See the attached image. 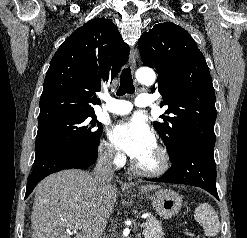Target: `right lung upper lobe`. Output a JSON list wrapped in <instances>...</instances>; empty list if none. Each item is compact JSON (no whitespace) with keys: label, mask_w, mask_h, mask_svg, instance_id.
I'll return each instance as SVG.
<instances>
[{"label":"right lung upper lobe","mask_w":247,"mask_h":238,"mask_svg":"<svg viewBox=\"0 0 247 238\" xmlns=\"http://www.w3.org/2000/svg\"><path fill=\"white\" fill-rule=\"evenodd\" d=\"M128 56L129 46L109 19L95 18L75 30L50 62L38 122L95 114V93L112 82Z\"/></svg>","instance_id":"cb5924a9"}]
</instances>
